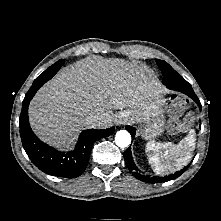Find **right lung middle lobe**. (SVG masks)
Returning a JSON list of instances; mask_svg holds the SVG:
<instances>
[{
  "label": "right lung middle lobe",
  "instance_id": "1",
  "mask_svg": "<svg viewBox=\"0 0 221 221\" xmlns=\"http://www.w3.org/2000/svg\"><path fill=\"white\" fill-rule=\"evenodd\" d=\"M64 64V60L63 59H60L59 61H57L56 63H54L52 66H50L46 71H44L42 74H44V75H50L51 73V71H54V70H57V69H59L62 65ZM57 73V72H56ZM56 73H53L51 76L53 77ZM39 77V76H38ZM37 77V78H38ZM36 78V79H37ZM35 79V80H36ZM34 80V81H35Z\"/></svg>",
  "mask_w": 221,
  "mask_h": 221
}]
</instances>
